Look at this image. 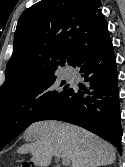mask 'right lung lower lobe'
Masks as SVG:
<instances>
[{"label": "right lung lower lobe", "mask_w": 125, "mask_h": 167, "mask_svg": "<svg viewBox=\"0 0 125 167\" xmlns=\"http://www.w3.org/2000/svg\"><path fill=\"white\" fill-rule=\"evenodd\" d=\"M75 66L89 87H72L34 120H59L85 128L113 144L121 153V118L116 58L108 27L81 52Z\"/></svg>", "instance_id": "98d812e1"}]
</instances>
